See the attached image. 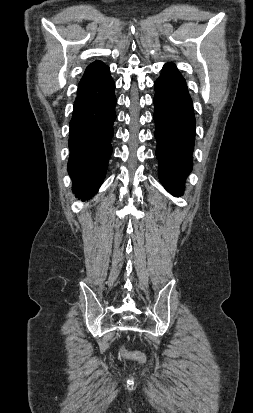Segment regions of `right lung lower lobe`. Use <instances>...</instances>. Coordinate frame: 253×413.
<instances>
[{"label": "right lung lower lobe", "mask_w": 253, "mask_h": 413, "mask_svg": "<svg viewBox=\"0 0 253 413\" xmlns=\"http://www.w3.org/2000/svg\"><path fill=\"white\" fill-rule=\"evenodd\" d=\"M115 83L107 67L78 88L70 121L68 172L73 192L90 199L104 181L116 119Z\"/></svg>", "instance_id": "98d812e1"}]
</instances>
